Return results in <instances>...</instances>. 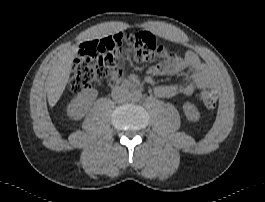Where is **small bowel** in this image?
Instances as JSON below:
<instances>
[{
    "mask_svg": "<svg viewBox=\"0 0 265 202\" xmlns=\"http://www.w3.org/2000/svg\"><path fill=\"white\" fill-rule=\"evenodd\" d=\"M100 38L96 37L84 41L79 48V55L86 57L100 54L98 45ZM160 58L161 63L149 69L150 75H175L182 71L189 72L187 77L179 83L157 86L155 94L160 98L169 99L178 95L190 96L197 88L212 85L214 82L209 68L191 51L185 52L182 56L165 51L160 55Z\"/></svg>",
    "mask_w": 265,
    "mask_h": 202,
    "instance_id": "1",
    "label": "small bowel"
}]
</instances>
